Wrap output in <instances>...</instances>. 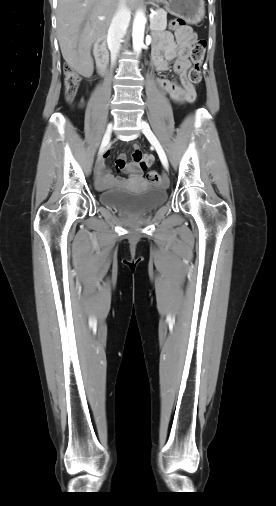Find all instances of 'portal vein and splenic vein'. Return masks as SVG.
Listing matches in <instances>:
<instances>
[{
  "label": "portal vein and splenic vein",
  "instance_id": "1",
  "mask_svg": "<svg viewBox=\"0 0 276 506\" xmlns=\"http://www.w3.org/2000/svg\"><path fill=\"white\" fill-rule=\"evenodd\" d=\"M154 15H155V13H154V12H152V13L150 14V21L154 18ZM99 19H100V20H104L105 18H104V17H99Z\"/></svg>",
  "mask_w": 276,
  "mask_h": 506
}]
</instances>
